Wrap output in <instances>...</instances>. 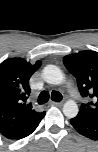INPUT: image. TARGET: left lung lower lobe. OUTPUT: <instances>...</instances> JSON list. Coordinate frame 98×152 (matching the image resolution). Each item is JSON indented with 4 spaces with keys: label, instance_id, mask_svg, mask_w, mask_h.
<instances>
[{
    "label": "left lung lower lobe",
    "instance_id": "left-lung-lower-lobe-1",
    "mask_svg": "<svg viewBox=\"0 0 98 152\" xmlns=\"http://www.w3.org/2000/svg\"><path fill=\"white\" fill-rule=\"evenodd\" d=\"M72 126L81 135L92 140H98V123L92 120L75 117L70 120Z\"/></svg>",
    "mask_w": 98,
    "mask_h": 152
}]
</instances>
